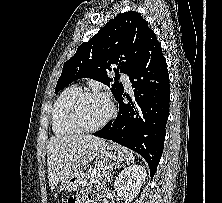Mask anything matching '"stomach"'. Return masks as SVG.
Instances as JSON below:
<instances>
[{"mask_svg":"<svg viewBox=\"0 0 222 203\" xmlns=\"http://www.w3.org/2000/svg\"><path fill=\"white\" fill-rule=\"evenodd\" d=\"M96 158L119 161L126 157V149L116 143H102L95 152ZM86 167H80L71 172L64 180L62 186L67 191H75L84 184Z\"/></svg>","mask_w":222,"mask_h":203,"instance_id":"obj_1","label":"stomach"}]
</instances>
